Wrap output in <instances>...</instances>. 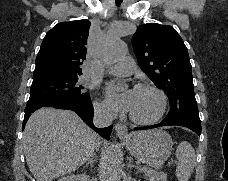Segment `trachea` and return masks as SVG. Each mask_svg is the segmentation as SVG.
Masks as SVG:
<instances>
[{
  "instance_id": "3493384b",
  "label": "trachea",
  "mask_w": 228,
  "mask_h": 181,
  "mask_svg": "<svg viewBox=\"0 0 228 181\" xmlns=\"http://www.w3.org/2000/svg\"><path fill=\"white\" fill-rule=\"evenodd\" d=\"M122 2H123V0H115V3L117 6H120Z\"/></svg>"
}]
</instances>
